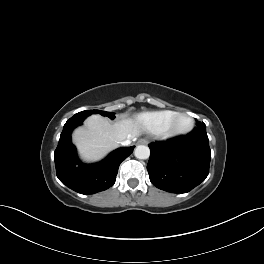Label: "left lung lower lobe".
Here are the masks:
<instances>
[{
  "label": "left lung lower lobe",
  "instance_id": "left-lung-lower-lobe-1",
  "mask_svg": "<svg viewBox=\"0 0 264 264\" xmlns=\"http://www.w3.org/2000/svg\"><path fill=\"white\" fill-rule=\"evenodd\" d=\"M147 170L151 183L171 193H186L209 174L211 150L206 126L186 136L149 144Z\"/></svg>",
  "mask_w": 264,
  "mask_h": 264
}]
</instances>
